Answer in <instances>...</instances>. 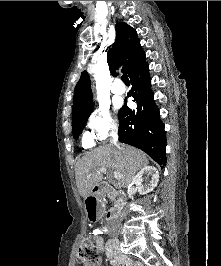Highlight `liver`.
I'll return each instance as SVG.
<instances>
[{"instance_id": "6515ba94", "label": "liver", "mask_w": 221, "mask_h": 266, "mask_svg": "<svg viewBox=\"0 0 221 266\" xmlns=\"http://www.w3.org/2000/svg\"><path fill=\"white\" fill-rule=\"evenodd\" d=\"M149 163L145 153L131 146L105 145L81 157L75 166V179L79 194L88 198V191L98 186L103 179L101 167L110 168L121 174L120 187H128L134 175Z\"/></svg>"}]
</instances>
